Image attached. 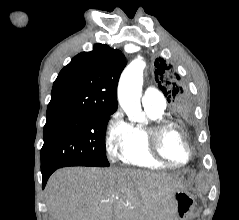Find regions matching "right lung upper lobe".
<instances>
[{
    "instance_id": "right-lung-upper-lobe-1",
    "label": "right lung upper lobe",
    "mask_w": 239,
    "mask_h": 220,
    "mask_svg": "<svg viewBox=\"0 0 239 220\" xmlns=\"http://www.w3.org/2000/svg\"><path fill=\"white\" fill-rule=\"evenodd\" d=\"M126 66L121 51L95 44L65 66L55 80L47 116L68 113H114L120 74Z\"/></svg>"
}]
</instances>
